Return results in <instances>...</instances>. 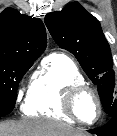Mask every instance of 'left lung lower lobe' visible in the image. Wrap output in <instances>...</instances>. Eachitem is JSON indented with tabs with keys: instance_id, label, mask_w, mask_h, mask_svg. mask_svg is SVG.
<instances>
[{
	"instance_id": "left-lung-lower-lobe-1",
	"label": "left lung lower lobe",
	"mask_w": 117,
	"mask_h": 136,
	"mask_svg": "<svg viewBox=\"0 0 117 136\" xmlns=\"http://www.w3.org/2000/svg\"><path fill=\"white\" fill-rule=\"evenodd\" d=\"M88 131L90 133H95L98 136H117V115L106 125Z\"/></svg>"
}]
</instances>
